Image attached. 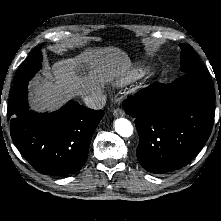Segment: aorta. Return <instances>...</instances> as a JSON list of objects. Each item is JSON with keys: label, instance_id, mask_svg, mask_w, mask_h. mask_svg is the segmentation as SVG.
<instances>
[{"label": "aorta", "instance_id": "762f6f07", "mask_svg": "<svg viewBox=\"0 0 221 221\" xmlns=\"http://www.w3.org/2000/svg\"><path fill=\"white\" fill-rule=\"evenodd\" d=\"M115 131L122 137H130L133 134L131 122L125 118H118L114 121Z\"/></svg>", "mask_w": 221, "mask_h": 221}]
</instances>
